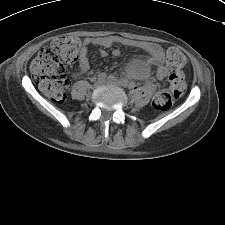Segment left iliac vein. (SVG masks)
<instances>
[{
	"mask_svg": "<svg viewBox=\"0 0 225 225\" xmlns=\"http://www.w3.org/2000/svg\"><path fill=\"white\" fill-rule=\"evenodd\" d=\"M105 83L110 84V85H113V86H117V87H121V86H122L121 81H119L118 79L113 78V77H109V78L105 81Z\"/></svg>",
	"mask_w": 225,
	"mask_h": 225,
	"instance_id": "4c4485c4",
	"label": "left iliac vein"
}]
</instances>
